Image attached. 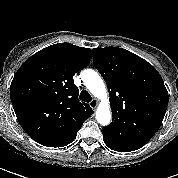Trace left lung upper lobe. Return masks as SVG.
Here are the masks:
<instances>
[{
    "instance_id": "1",
    "label": "left lung upper lobe",
    "mask_w": 178,
    "mask_h": 178,
    "mask_svg": "<svg viewBox=\"0 0 178 178\" xmlns=\"http://www.w3.org/2000/svg\"><path fill=\"white\" fill-rule=\"evenodd\" d=\"M93 63L104 78L113 119L103 128L112 142L139 149L160 128L168 92L158 71L132 52L106 47L93 49Z\"/></svg>"
}]
</instances>
